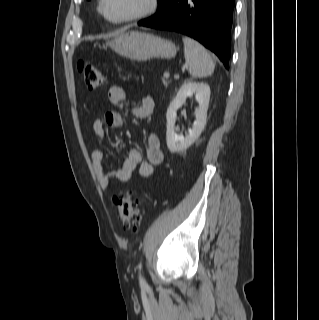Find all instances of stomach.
Masks as SVG:
<instances>
[{
  "mask_svg": "<svg viewBox=\"0 0 319 320\" xmlns=\"http://www.w3.org/2000/svg\"><path fill=\"white\" fill-rule=\"evenodd\" d=\"M107 46L120 56L135 61L171 59L177 53L172 41L141 31H122L109 40Z\"/></svg>",
  "mask_w": 319,
  "mask_h": 320,
  "instance_id": "1",
  "label": "stomach"
}]
</instances>
